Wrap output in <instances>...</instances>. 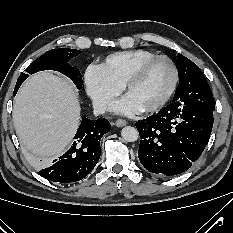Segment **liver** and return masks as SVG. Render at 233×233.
Returning <instances> with one entry per match:
<instances>
[{"label": "liver", "mask_w": 233, "mask_h": 233, "mask_svg": "<svg viewBox=\"0 0 233 233\" xmlns=\"http://www.w3.org/2000/svg\"><path fill=\"white\" fill-rule=\"evenodd\" d=\"M78 92L64 77L40 72L27 79L13 106L20 142L39 158L58 156L70 144L80 122Z\"/></svg>", "instance_id": "liver-1"}]
</instances>
